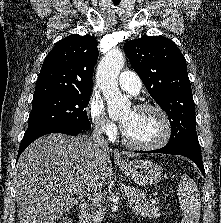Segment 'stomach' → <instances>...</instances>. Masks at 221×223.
<instances>
[{
    "instance_id": "stomach-1",
    "label": "stomach",
    "mask_w": 221,
    "mask_h": 223,
    "mask_svg": "<svg viewBox=\"0 0 221 223\" xmlns=\"http://www.w3.org/2000/svg\"><path fill=\"white\" fill-rule=\"evenodd\" d=\"M120 170L134 183L149 186L158 183L163 170L156 163L149 160H134L120 163Z\"/></svg>"
}]
</instances>
